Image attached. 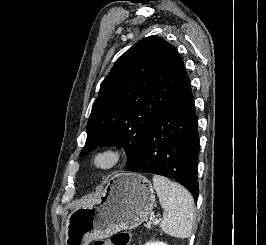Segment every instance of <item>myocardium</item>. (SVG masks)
<instances>
[{
  "mask_svg": "<svg viewBox=\"0 0 266 245\" xmlns=\"http://www.w3.org/2000/svg\"><path fill=\"white\" fill-rule=\"evenodd\" d=\"M124 157L122 148L115 145L103 146L91 153L89 167L98 174H110L122 165ZM105 158L107 161L102 162Z\"/></svg>",
  "mask_w": 266,
  "mask_h": 245,
  "instance_id": "1",
  "label": "myocardium"
}]
</instances>
